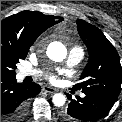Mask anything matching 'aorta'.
I'll use <instances>...</instances> for the list:
<instances>
[{
	"mask_svg": "<svg viewBox=\"0 0 122 122\" xmlns=\"http://www.w3.org/2000/svg\"><path fill=\"white\" fill-rule=\"evenodd\" d=\"M47 56L53 61H62L66 58L67 49L65 45L60 42H52L47 47ZM66 98L63 94L57 93L54 94L52 102L56 107H61L65 104Z\"/></svg>",
	"mask_w": 122,
	"mask_h": 122,
	"instance_id": "aorta-1",
	"label": "aorta"
}]
</instances>
